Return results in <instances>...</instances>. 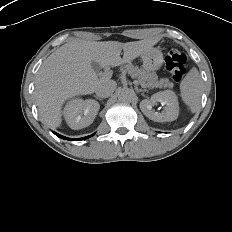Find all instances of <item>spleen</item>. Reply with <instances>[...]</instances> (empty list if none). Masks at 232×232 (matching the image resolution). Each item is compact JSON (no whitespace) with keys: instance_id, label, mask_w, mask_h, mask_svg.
I'll return each instance as SVG.
<instances>
[{"instance_id":"obj_1","label":"spleen","mask_w":232,"mask_h":232,"mask_svg":"<svg viewBox=\"0 0 232 232\" xmlns=\"http://www.w3.org/2000/svg\"><path fill=\"white\" fill-rule=\"evenodd\" d=\"M202 88L201 76L197 68L193 67L180 83V96L192 113H195L200 108Z\"/></svg>"}]
</instances>
